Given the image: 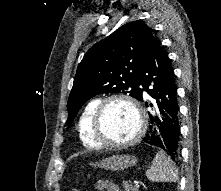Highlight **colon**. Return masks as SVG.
Returning <instances> with one entry per match:
<instances>
[{
    "label": "colon",
    "instance_id": "1",
    "mask_svg": "<svg viewBox=\"0 0 221 191\" xmlns=\"http://www.w3.org/2000/svg\"><path fill=\"white\" fill-rule=\"evenodd\" d=\"M72 191H83L81 188H73Z\"/></svg>",
    "mask_w": 221,
    "mask_h": 191
}]
</instances>
